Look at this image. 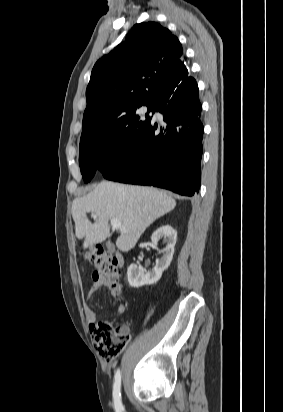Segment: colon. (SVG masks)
<instances>
[{
  "label": "colon",
  "mask_w": 283,
  "mask_h": 412,
  "mask_svg": "<svg viewBox=\"0 0 283 412\" xmlns=\"http://www.w3.org/2000/svg\"><path fill=\"white\" fill-rule=\"evenodd\" d=\"M94 266V278L106 280L115 291L121 287V272L117 262L102 247L91 248L86 255ZM91 334L97 349L105 359L115 358L129 343L130 335L124 327L109 321H98L91 326Z\"/></svg>",
  "instance_id": "obj_1"
}]
</instances>
